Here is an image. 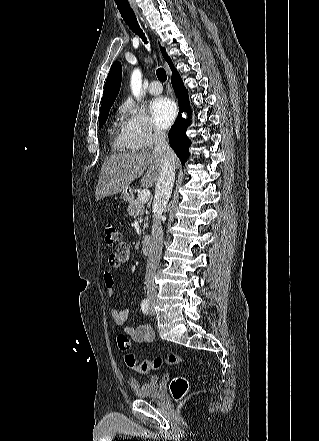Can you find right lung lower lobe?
I'll return each mask as SVG.
<instances>
[{
    "label": "right lung lower lobe",
    "instance_id": "right-lung-lower-lobe-1",
    "mask_svg": "<svg viewBox=\"0 0 319 441\" xmlns=\"http://www.w3.org/2000/svg\"><path fill=\"white\" fill-rule=\"evenodd\" d=\"M171 82L176 96L178 97L179 115L170 129L168 137L170 146L180 158L181 163L184 164L188 157V147L191 142L186 136V129L189 126V122L181 117V112H190V104L188 92L184 87L179 73L175 69L172 70Z\"/></svg>",
    "mask_w": 319,
    "mask_h": 441
}]
</instances>
